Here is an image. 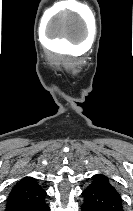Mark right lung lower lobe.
I'll use <instances>...</instances> for the list:
<instances>
[{
    "instance_id": "right-lung-lower-lobe-1",
    "label": "right lung lower lobe",
    "mask_w": 133,
    "mask_h": 211,
    "mask_svg": "<svg viewBox=\"0 0 133 211\" xmlns=\"http://www.w3.org/2000/svg\"><path fill=\"white\" fill-rule=\"evenodd\" d=\"M16 211H50V208L48 207L44 197L41 201L25 208L17 209Z\"/></svg>"
}]
</instances>
